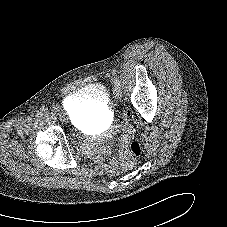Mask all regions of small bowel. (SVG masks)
<instances>
[{
  "label": "small bowel",
  "mask_w": 227,
  "mask_h": 227,
  "mask_svg": "<svg viewBox=\"0 0 227 227\" xmlns=\"http://www.w3.org/2000/svg\"><path fill=\"white\" fill-rule=\"evenodd\" d=\"M118 161V157H113L108 163H105L103 167L108 173L115 174L118 169Z\"/></svg>",
  "instance_id": "c3829d8e"
}]
</instances>
